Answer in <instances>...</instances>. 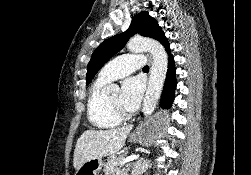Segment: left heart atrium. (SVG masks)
Wrapping results in <instances>:
<instances>
[{
    "instance_id": "left-heart-atrium-1",
    "label": "left heart atrium",
    "mask_w": 251,
    "mask_h": 175,
    "mask_svg": "<svg viewBox=\"0 0 251 175\" xmlns=\"http://www.w3.org/2000/svg\"><path fill=\"white\" fill-rule=\"evenodd\" d=\"M144 88V83L139 76H131L124 80L120 101L126 111L135 112L139 108Z\"/></svg>"
}]
</instances>
